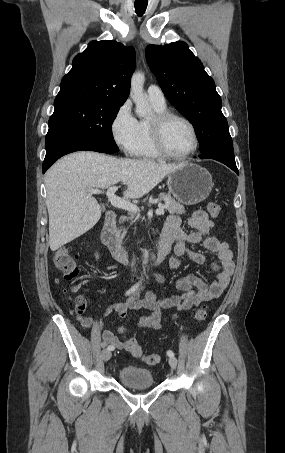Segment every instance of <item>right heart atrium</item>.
Returning a JSON list of instances; mask_svg holds the SVG:
<instances>
[{"label": "right heart atrium", "mask_w": 285, "mask_h": 453, "mask_svg": "<svg viewBox=\"0 0 285 453\" xmlns=\"http://www.w3.org/2000/svg\"><path fill=\"white\" fill-rule=\"evenodd\" d=\"M138 120L128 102L119 107L111 122V134L115 144L126 155H133L137 137Z\"/></svg>", "instance_id": "obj_1"}]
</instances>
